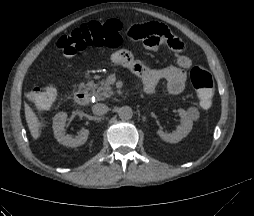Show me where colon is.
<instances>
[{"mask_svg": "<svg viewBox=\"0 0 254 216\" xmlns=\"http://www.w3.org/2000/svg\"><path fill=\"white\" fill-rule=\"evenodd\" d=\"M122 39L119 21L91 22L63 35L58 40L57 47L65 56L70 57L87 47H118L122 43ZM190 81L198 94L202 107L210 108L214 82L209 71L200 66H194L190 71ZM56 96L57 91L53 86L34 88L29 94L31 101L42 109L49 108Z\"/></svg>", "mask_w": 254, "mask_h": 216, "instance_id": "1", "label": "colon"}]
</instances>
